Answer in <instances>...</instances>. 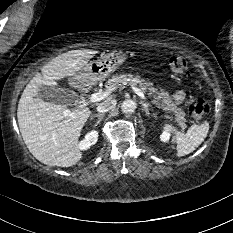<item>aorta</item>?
Here are the masks:
<instances>
[{"label":"aorta","mask_w":233,"mask_h":233,"mask_svg":"<svg viewBox=\"0 0 233 233\" xmlns=\"http://www.w3.org/2000/svg\"><path fill=\"white\" fill-rule=\"evenodd\" d=\"M136 109V104L133 100L127 99L121 104V111L125 114L133 113Z\"/></svg>","instance_id":"1"}]
</instances>
